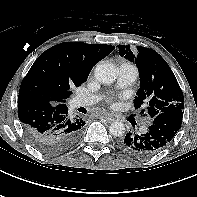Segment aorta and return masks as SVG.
Wrapping results in <instances>:
<instances>
[{
	"mask_svg": "<svg viewBox=\"0 0 197 197\" xmlns=\"http://www.w3.org/2000/svg\"><path fill=\"white\" fill-rule=\"evenodd\" d=\"M116 76V67L110 62H100L94 70L95 79L103 84L109 85L113 83L116 79ZM109 132L114 137H122L125 133V126L122 122L115 121L111 123Z\"/></svg>",
	"mask_w": 197,
	"mask_h": 197,
	"instance_id": "1",
	"label": "aorta"
}]
</instances>
